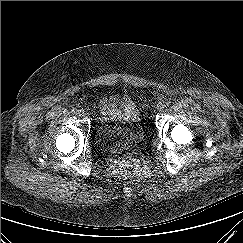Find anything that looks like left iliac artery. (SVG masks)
Segmentation results:
<instances>
[{
  "label": "left iliac artery",
  "mask_w": 243,
  "mask_h": 243,
  "mask_svg": "<svg viewBox=\"0 0 243 243\" xmlns=\"http://www.w3.org/2000/svg\"><path fill=\"white\" fill-rule=\"evenodd\" d=\"M169 105H170V102H166L165 107H166V106H169Z\"/></svg>",
  "instance_id": "left-iliac-artery-1"
}]
</instances>
